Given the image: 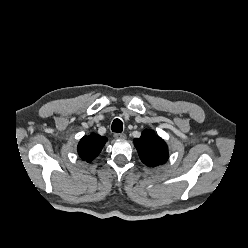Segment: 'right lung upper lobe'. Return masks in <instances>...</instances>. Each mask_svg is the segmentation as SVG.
I'll return each mask as SVG.
<instances>
[{"label":"right lung upper lobe","instance_id":"right-lung-upper-lobe-1","mask_svg":"<svg viewBox=\"0 0 248 248\" xmlns=\"http://www.w3.org/2000/svg\"><path fill=\"white\" fill-rule=\"evenodd\" d=\"M106 141H107L106 137L100 136L98 134H91L89 136H84L80 140L77 147L79 156L83 160L87 162H91L99 155Z\"/></svg>","mask_w":248,"mask_h":248}]
</instances>
